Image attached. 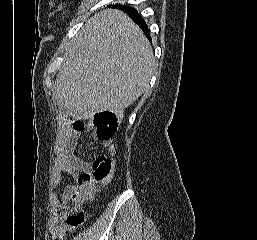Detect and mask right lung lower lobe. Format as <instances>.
<instances>
[{
	"instance_id": "right-lung-lower-lobe-1",
	"label": "right lung lower lobe",
	"mask_w": 257,
	"mask_h": 240,
	"mask_svg": "<svg viewBox=\"0 0 257 240\" xmlns=\"http://www.w3.org/2000/svg\"><path fill=\"white\" fill-rule=\"evenodd\" d=\"M120 9L123 10L124 12H126L133 19V21L147 34V37L151 41V37L149 36L148 27H147L144 19H142V17L138 14L137 10L130 6H121Z\"/></svg>"
}]
</instances>
